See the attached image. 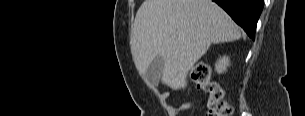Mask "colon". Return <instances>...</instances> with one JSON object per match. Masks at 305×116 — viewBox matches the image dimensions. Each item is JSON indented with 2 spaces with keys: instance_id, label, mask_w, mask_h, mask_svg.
<instances>
[{
  "instance_id": "colon-1",
  "label": "colon",
  "mask_w": 305,
  "mask_h": 116,
  "mask_svg": "<svg viewBox=\"0 0 305 116\" xmlns=\"http://www.w3.org/2000/svg\"><path fill=\"white\" fill-rule=\"evenodd\" d=\"M191 78L208 95L206 116H231L233 109L224 99L217 82L211 78V69L205 64H196L191 69Z\"/></svg>"
}]
</instances>
